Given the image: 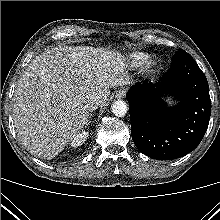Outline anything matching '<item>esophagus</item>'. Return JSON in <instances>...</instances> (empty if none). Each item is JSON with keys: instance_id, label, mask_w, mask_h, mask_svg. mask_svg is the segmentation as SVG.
Returning a JSON list of instances; mask_svg holds the SVG:
<instances>
[{"instance_id": "esophagus-1", "label": "esophagus", "mask_w": 220, "mask_h": 220, "mask_svg": "<svg viewBox=\"0 0 220 220\" xmlns=\"http://www.w3.org/2000/svg\"><path fill=\"white\" fill-rule=\"evenodd\" d=\"M126 95V90L125 89H120L116 93V98H123Z\"/></svg>"}]
</instances>
